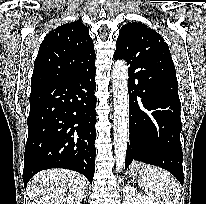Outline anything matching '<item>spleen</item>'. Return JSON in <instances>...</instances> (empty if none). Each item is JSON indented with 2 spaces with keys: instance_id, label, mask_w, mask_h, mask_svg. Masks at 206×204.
I'll list each match as a JSON object with an SVG mask.
<instances>
[{
  "instance_id": "1",
  "label": "spleen",
  "mask_w": 206,
  "mask_h": 204,
  "mask_svg": "<svg viewBox=\"0 0 206 204\" xmlns=\"http://www.w3.org/2000/svg\"><path fill=\"white\" fill-rule=\"evenodd\" d=\"M139 185L155 204L179 203L181 196L179 183L164 169L145 165Z\"/></svg>"
}]
</instances>
